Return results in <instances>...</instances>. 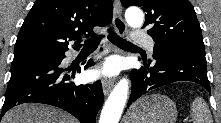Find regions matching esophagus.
Segmentation results:
<instances>
[{
    "label": "esophagus",
    "mask_w": 221,
    "mask_h": 123,
    "mask_svg": "<svg viewBox=\"0 0 221 123\" xmlns=\"http://www.w3.org/2000/svg\"><path fill=\"white\" fill-rule=\"evenodd\" d=\"M113 25L115 30L120 34L124 35L127 30V25L122 17V11L120 2L115 0L113 2ZM114 86V81L111 79H105L103 81V93L104 95H108L111 89Z\"/></svg>",
    "instance_id": "34e87169"
}]
</instances>
